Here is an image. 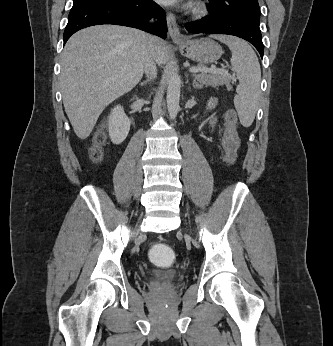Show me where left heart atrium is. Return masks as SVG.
Masks as SVG:
<instances>
[{
  "label": "left heart atrium",
  "mask_w": 333,
  "mask_h": 346,
  "mask_svg": "<svg viewBox=\"0 0 333 346\" xmlns=\"http://www.w3.org/2000/svg\"><path fill=\"white\" fill-rule=\"evenodd\" d=\"M158 2L162 3V4H174L176 3L178 0H157Z\"/></svg>",
  "instance_id": "1"
}]
</instances>
